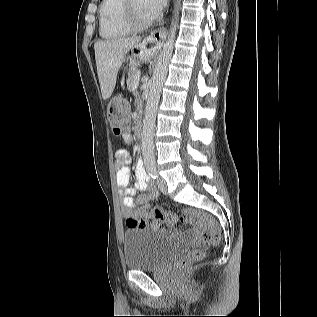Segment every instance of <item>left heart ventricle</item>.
I'll return each mask as SVG.
<instances>
[{
    "mask_svg": "<svg viewBox=\"0 0 317 317\" xmlns=\"http://www.w3.org/2000/svg\"><path fill=\"white\" fill-rule=\"evenodd\" d=\"M132 5H133L137 18L140 21H146L150 19L145 9L144 0H132Z\"/></svg>",
    "mask_w": 317,
    "mask_h": 317,
    "instance_id": "1",
    "label": "left heart ventricle"
}]
</instances>
